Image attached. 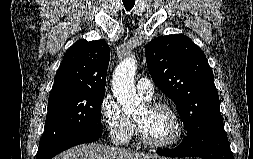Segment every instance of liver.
Wrapping results in <instances>:
<instances>
[{
	"instance_id": "obj_1",
	"label": "liver",
	"mask_w": 253,
	"mask_h": 159,
	"mask_svg": "<svg viewBox=\"0 0 253 159\" xmlns=\"http://www.w3.org/2000/svg\"><path fill=\"white\" fill-rule=\"evenodd\" d=\"M158 155L135 152L98 143L82 144L55 156L53 159H148Z\"/></svg>"
}]
</instances>
